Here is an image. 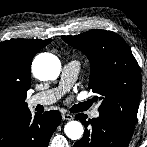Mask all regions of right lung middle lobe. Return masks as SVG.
Returning a JSON list of instances; mask_svg holds the SVG:
<instances>
[{"label": "right lung middle lobe", "instance_id": "dd1d6c3e", "mask_svg": "<svg viewBox=\"0 0 147 147\" xmlns=\"http://www.w3.org/2000/svg\"><path fill=\"white\" fill-rule=\"evenodd\" d=\"M9 99H10V94L3 88H0V103L8 102Z\"/></svg>", "mask_w": 147, "mask_h": 147}]
</instances>
